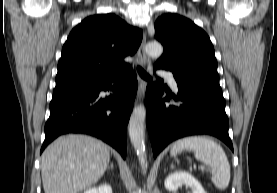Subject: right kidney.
<instances>
[{
    "label": "right kidney",
    "instance_id": "obj_1",
    "mask_svg": "<svg viewBox=\"0 0 277 193\" xmlns=\"http://www.w3.org/2000/svg\"><path fill=\"white\" fill-rule=\"evenodd\" d=\"M84 193H112V188L110 185L104 184L99 186L98 188H90L84 191Z\"/></svg>",
    "mask_w": 277,
    "mask_h": 193
}]
</instances>
